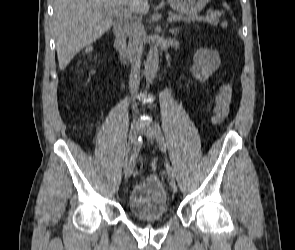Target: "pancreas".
Returning <instances> with one entry per match:
<instances>
[{"label":"pancreas","instance_id":"pancreas-1","mask_svg":"<svg viewBox=\"0 0 295 250\" xmlns=\"http://www.w3.org/2000/svg\"><path fill=\"white\" fill-rule=\"evenodd\" d=\"M217 12L216 11H211L210 14H208L205 18H199V20H203L206 21L208 23H210L211 25H217L219 20L217 17ZM172 16H175L178 20H185V21H192L194 19H197V17H191V18H183L181 15L178 14H174Z\"/></svg>","mask_w":295,"mask_h":250}]
</instances>
